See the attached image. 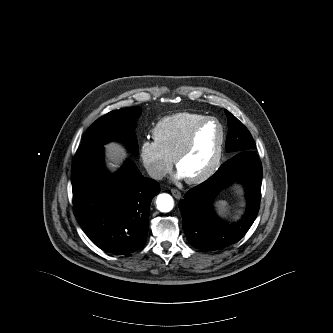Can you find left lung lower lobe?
I'll return each instance as SVG.
<instances>
[{"label": "left lung lower lobe", "instance_id": "1", "mask_svg": "<svg viewBox=\"0 0 333 333\" xmlns=\"http://www.w3.org/2000/svg\"><path fill=\"white\" fill-rule=\"evenodd\" d=\"M234 181L244 183L247 207L242 220L228 226L214 214L212 202L222 188ZM261 183V162L250 150L235 153L213 176L190 189L179 201L183 229L190 244L198 249L216 250L238 242L257 217Z\"/></svg>", "mask_w": 333, "mask_h": 333}]
</instances>
